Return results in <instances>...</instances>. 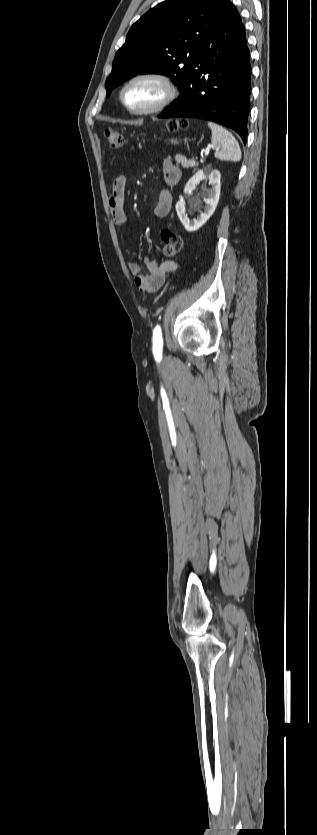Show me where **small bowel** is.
<instances>
[{
    "instance_id": "c3829d8e",
    "label": "small bowel",
    "mask_w": 317,
    "mask_h": 835,
    "mask_svg": "<svg viewBox=\"0 0 317 835\" xmlns=\"http://www.w3.org/2000/svg\"><path fill=\"white\" fill-rule=\"evenodd\" d=\"M162 173L166 186L177 184L181 178L180 168L169 158L163 161ZM125 190L126 178L123 175H119L114 179L109 195L110 213L114 223L119 227L126 223L124 209ZM171 207L172 195L168 188L164 187L159 193L158 201L154 206V213L158 217H165L169 214ZM178 267L179 261L177 260L157 261L145 258L142 262L135 261L128 263V268L134 276L136 286L146 292H154L159 289L165 280V276L169 272L175 271Z\"/></svg>"
}]
</instances>
